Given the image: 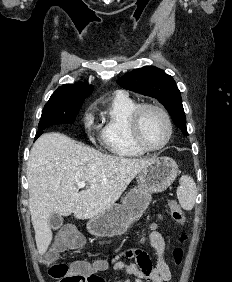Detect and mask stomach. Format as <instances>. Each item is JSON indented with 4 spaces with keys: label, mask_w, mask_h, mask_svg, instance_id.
Masks as SVG:
<instances>
[{
    "label": "stomach",
    "mask_w": 232,
    "mask_h": 282,
    "mask_svg": "<svg viewBox=\"0 0 232 282\" xmlns=\"http://www.w3.org/2000/svg\"><path fill=\"white\" fill-rule=\"evenodd\" d=\"M178 165L170 157L151 161L138 173V186L129 191L122 204H114L87 222L90 234L110 238L124 234L131 223L138 220L152 200V194L166 190L176 179Z\"/></svg>",
    "instance_id": "1"
}]
</instances>
